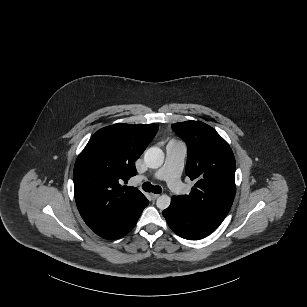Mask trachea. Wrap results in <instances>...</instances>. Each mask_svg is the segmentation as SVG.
<instances>
[{
    "label": "trachea",
    "instance_id": "trachea-1",
    "mask_svg": "<svg viewBox=\"0 0 307 307\" xmlns=\"http://www.w3.org/2000/svg\"><path fill=\"white\" fill-rule=\"evenodd\" d=\"M142 188L146 192H153L155 194H160L162 192V188L159 185L154 186L150 182H145Z\"/></svg>",
    "mask_w": 307,
    "mask_h": 307
}]
</instances>
